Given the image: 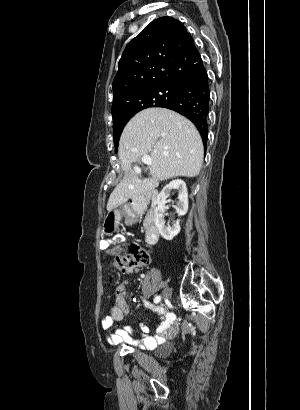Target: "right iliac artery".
Here are the masks:
<instances>
[{"label": "right iliac artery", "mask_w": 300, "mask_h": 410, "mask_svg": "<svg viewBox=\"0 0 300 410\" xmlns=\"http://www.w3.org/2000/svg\"><path fill=\"white\" fill-rule=\"evenodd\" d=\"M160 300H161V297H160V296H156V297L154 298V303H159Z\"/></svg>", "instance_id": "82829eb1"}]
</instances>
